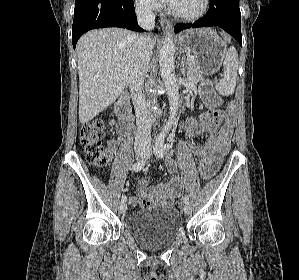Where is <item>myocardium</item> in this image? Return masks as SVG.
I'll return each instance as SVG.
<instances>
[{
  "mask_svg": "<svg viewBox=\"0 0 299 280\" xmlns=\"http://www.w3.org/2000/svg\"><path fill=\"white\" fill-rule=\"evenodd\" d=\"M208 8H209V0H203L201 9L195 14L188 15V14L180 13L179 11L175 10L170 3L168 4V11L171 15L186 21H194L200 19L206 14Z\"/></svg>",
  "mask_w": 299,
  "mask_h": 280,
  "instance_id": "myocardium-1",
  "label": "myocardium"
}]
</instances>
